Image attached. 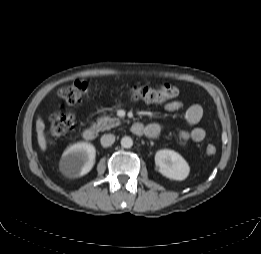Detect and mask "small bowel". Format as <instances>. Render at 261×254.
I'll use <instances>...</instances> for the list:
<instances>
[{"label": "small bowel", "instance_id": "1", "mask_svg": "<svg viewBox=\"0 0 261 254\" xmlns=\"http://www.w3.org/2000/svg\"><path fill=\"white\" fill-rule=\"evenodd\" d=\"M182 107V103L179 100H174L166 103L165 108L169 112H174ZM203 116V108L199 104L191 105L185 112L184 120L189 125L198 124ZM140 124V123H138ZM143 128L142 134L149 138H155L160 135L162 129L161 126L156 123H151L146 126L140 124ZM206 136V131L202 127H194L191 129H182L178 133V140L180 144L186 145L190 142H201Z\"/></svg>", "mask_w": 261, "mask_h": 254}]
</instances>
